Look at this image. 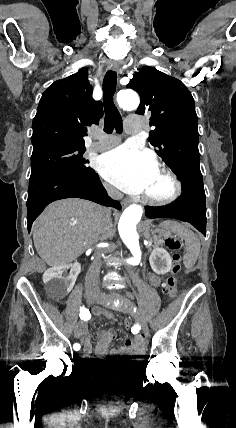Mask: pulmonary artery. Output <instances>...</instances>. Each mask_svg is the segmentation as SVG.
I'll return each mask as SVG.
<instances>
[{
  "label": "pulmonary artery",
  "mask_w": 236,
  "mask_h": 428,
  "mask_svg": "<svg viewBox=\"0 0 236 428\" xmlns=\"http://www.w3.org/2000/svg\"><path fill=\"white\" fill-rule=\"evenodd\" d=\"M119 141L120 139L118 137H116L112 142H109V143L94 141L89 145V150L92 152H103L112 148Z\"/></svg>",
  "instance_id": "e3ab8cb5"
}]
</instances>
